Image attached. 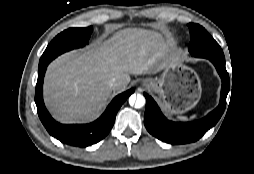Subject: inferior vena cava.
I'll return each instance as SVG.
<instances>
[{"instance_id":"inferior-vena-cava-1","label":"inferior vena cava","mask_w":254,"mask_h":174,"mask_svg":"<svg viewBox=\"0 0 254 174\" xmlns=\"http://www.w3.org/2000/svg\"><path fill=\"white\" fill-rule=\"evenodd\" d=\"M109 86L112 88H116L119 86V81L116 78H112L109 80Z\"/></svg>"}]
</instances>
